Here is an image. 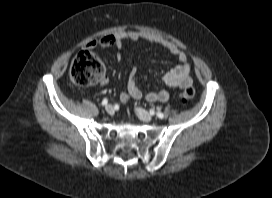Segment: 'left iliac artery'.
<instances>
[{
    "mask_svg": "<svg viewBox=\"0 0 272 198\" xmlns=\"http://www.w3.org/2000/svg\"><path fill=\"white\" fill-rule=\"evenodd\" d=\"M150 112L151 113H154V111L153 110H150ZM156 115L160 118V119H163L164 118V115H163V113L162 112H160V111H158L157 113H156Z\"/></svg>",
    "mask_w": 272,
    "mask_h": 198,
    "instance_id": "1",
    "label": "left iliac artery"
}]
</instances>
